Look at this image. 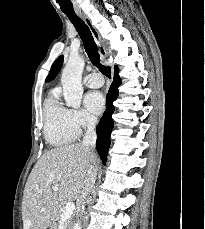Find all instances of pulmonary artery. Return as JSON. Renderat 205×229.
Instances as JSON below:
<instances>
[{"label":"pulmonary artery","mask_w":205,"mask_h":229,"mask_svg":"<svg viewBox=\"0 0 205 229\" xmlns=\"http://www.w3.org/2000/svg\"><path fill=\"white\" fill-rule=\"evenodd\" d=\"M104 79L96 72L90 73L85 76L84 84L90 88H99L103 85Z\"/></svg>","instance_id":"obj_1"}]
</instances>
